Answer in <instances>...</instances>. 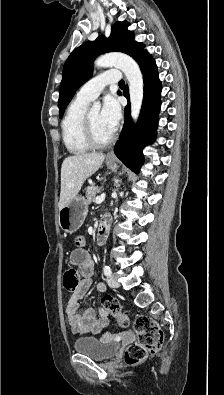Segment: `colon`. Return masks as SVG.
Here are the masks:
<instances>
[{
	"mask_svg": "<svg viewBox=\"0 0 224 395\" xmlns=\"http://www.w3.org/2000/svg\"><path fill=\"white\" fill-rule=\"evenodd\" d=\"M65 288L74 291L78 286V272L75 268H68L64 274ZM103 306L111 312L120 328H127L129 318L122 311L118 301L112 296L102 298ZM134 330L137 341L128 345L124 350V359L127 364L135 365L142 362L149 354L158 352L164 341V335L159 325L147 316H139L134 321Z\"/></svg>",
	"mask_w": 224,
	"mask_h": 395,
	"instance_id": "colon-1",
	"label": "colon"
}]
</instances>
